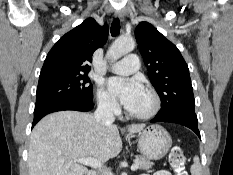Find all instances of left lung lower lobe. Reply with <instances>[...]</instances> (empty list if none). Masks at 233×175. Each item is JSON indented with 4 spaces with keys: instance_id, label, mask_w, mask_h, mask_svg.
Segmentation results:
<instances>
[{
    "instance_id": "obj_1",
    "label": "left lung lower lobe",
    "mask_w": 233,
    "mask_h": 175,
    "mask_svg": "<svg viewBox=\"0 0 233 175\" xmlns=\"http://www.w3.org/2000/svg\"><path fill=\"white\" fill-rule=\"evenodd\" d=\"M151 122H171L181 124L193 130L198 137L201 138L197 126L198 120L195 111L184 110L165 115H156Z\"/></svg>"
}]
</instances>
